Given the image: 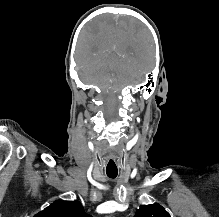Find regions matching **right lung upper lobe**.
<instances>
[{"mask_svg":"<svg viewBox=\"0 0 219 217\" xmlns=\"http://www.w3.org/2000/svg\"><path fill=\"white\" fill-rule=\"evenodd\" d=\"M34 217H91L78 201H55Z\"/></svg>","mask_w":219,"mask_h":217,"instance_id":"right-lung-upper-lobe-1","label":"right lung upper lobe"}]
</instances>
